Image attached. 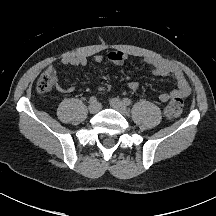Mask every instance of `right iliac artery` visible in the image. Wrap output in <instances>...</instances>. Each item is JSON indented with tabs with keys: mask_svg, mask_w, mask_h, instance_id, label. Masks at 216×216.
I'll list each match as a JSON object with an SVG mask.
<instances>
[{
	"mask_svg": "<svg viewBox=\"0 0 216 216\" xmlns=\"http://www.w3.org/2000/svg\"><path fill=\"white\" fill-rule=\"evenodd\" d=\"M89 102H90L91 104L96 103V102H97L96 97L92 96V97L90 98Z\"/></svg>",
	"mask_w": 216,
	"mask_h": 216,
	"instance_id": "right-iliac-artery-1",
	"label": "right iliac artery"
}]
</instances>
